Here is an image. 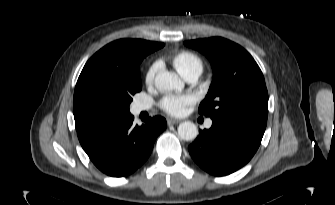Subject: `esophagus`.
<instances>
[{
	"mask_svg": "<svg viewBox=\"0 0 335 205\" xmlns=\"http://www.w3.org/2000/svg\"><path fill=\"white\" fill-rule=\"evenodd\" d=\"M167 123H168V125H173V124L179 123V120L174 119V118H168Z\"/></svg>",
	"mask_w": 335,
	"mask_h": 205,
	"instance_id": "obj_1",
	"label": "esophagus"
}]
</instances>
